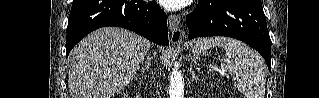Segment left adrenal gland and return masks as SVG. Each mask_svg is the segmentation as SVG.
<instances>
[{
    "instance_id": "a2214340",
    "label": "left adrenal gland",
    "mask_w": 319,
    "mask_h": 98,
    "mask_svg": "<svg viewBox=\"0 0 319 98\" xmlns=\"http://www.w3.org/2000/svg\"><path fill=\"white\" fill-rule=\"evenodd\" d=\"M190 74H191L192 80H195V81L199 80V78L196 77L192 66H190Z\"/></svg>"
}]
</instances>
